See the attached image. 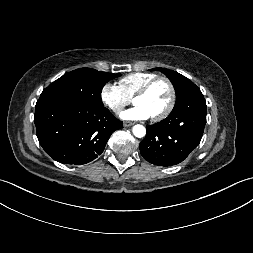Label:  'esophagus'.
I'll return each instance as SVG.
<instances>
[{
    "label": "esophagus",
    "instance_id": "esophagus-1",
    "mask_svg": "<svg viewBox=\"0 0 253 253\" xmlns=\"http://www.w3.org/2000/svg\"><path fill=\"white\" fill-rule=\"evenodd\" d=\"M134 123L133 122H130V121H125L123 123L124 127H129V126H132Z\"/></svg>",
    "mask_w": 253,
    "mask_h": 253
}]
</instances>
